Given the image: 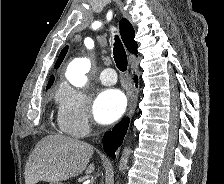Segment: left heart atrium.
Instances as JSON below:
<instances>
[{"instance_id": "1", "label": "left heart atrium", "mask_w": 224, "mask_h": 184, "mask_svg": "<svg viewBox=\"0 0 224 184\" xmlns=\"http://www.w3.org/2000/svg\"><path fill=\"white\" fill-rule=\"evenodd\" d=\"M126 108V98L117 89L102 91L94 102V116L101 124H110L116 121Z\"/></svg>"}]
</instances>
